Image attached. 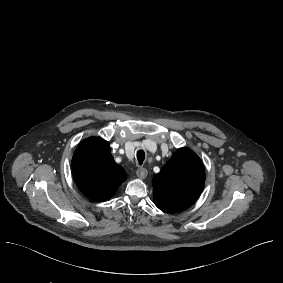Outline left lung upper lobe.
Wrapping results in <instances>:
<instances>
[{
	"label": "left lung upper lobe",
	"mask_w": 283,
	"mask_h": 283,
	"mask_svg": "<svg viewBox=\"0 0 283 283\" xmlns=\"http://www.w3.org/2000/svg\"><path fill=\"white\" fill-rule=\"evenodd\" d=\"M204 183L205 171L199 157L188 148H180L153 177L154 203L167 213L182 211L196 201Z\"/></svg>",
	"instance_id": "1"
}]
</instances>
